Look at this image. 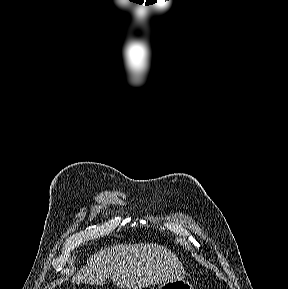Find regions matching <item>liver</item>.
I'll use <instances>...</instances> for the list:
<instances>
[{
	"mask_svg": "<svg viewBox=\"0 0 288 289\" xmlns=\"http://www.w3.org/2000/svg\"><path fill=\"white\" fill-rule=\"evenodd\" d=\"M182 263L158 244H118L100 250L73 277L72 283L103 285L111 278L119 288L144 289L182 279Z\"/></svg>",
	"mask_w": 288,
	"mask_h": 289,
	"instance_id": "liver-1",
	"label": "liver"
}]
</instances>
